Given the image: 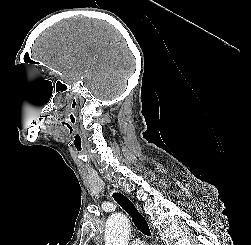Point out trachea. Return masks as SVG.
Returning <instances> with one entry per match:
<instances>
[{
  "label": "trachea",
  "mask_w": 251,
  "mask_h": 245,
  "mask_svg": "<svg viewBox=\"0 0 251 245\" xmlns=\"http://www.w3.org/2000/svg\"><path fill=\"white\" fill-rule=\"evenodd\" d=\"M113 198L130 215L138 230L146 236H151V232L146 219L137 210L135 205L121 193H114Z\"/></svg>",
  "instance_id": "1"
}]
</instances>
